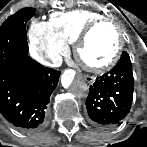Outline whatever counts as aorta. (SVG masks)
Returning a JSON list of instances; mask_svg holds the SVG:
<instances>
[{"mask_svg":"<svg viewBox=\"0 0 147 147\" xmlns=\"http://www.w3.org/2000/svg\"><path fill=\"white\" fill-rule=\"evenodd\" d=\"M87 91H88V87L85 83L78 84L73 88V93L77 97L86 96Z\"/></svg>","mask_w":147,"mask_h":147,"instance_id":"aorta-1","label":"aorta"}]
</instances>
